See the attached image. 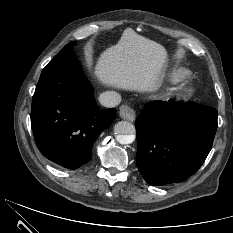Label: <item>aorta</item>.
<instances>
[{
  "instance_id": "1",
  "label": "aorta",
  "mask_w": 233,
  "mask_h": 233,
  "mask_svg": "<svg viewBox=\"0 0 233 233\" xmlns=\"http://www.w3.org/2000/svg\"><path fill=\"white\" fill-rule=\"evenodd\" d=\"M114 132L116 140L120 144H131L135 139V126L128 121H120L115 124Z\"/></svg>"
}]
</instances>
